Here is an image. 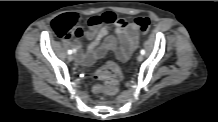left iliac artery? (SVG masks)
<instances>
[{
    "label": "left iliac artery",
    "instance_id": "1",
    "mask_svg": "<svg viewBox=\"0 0 218 122\" xmlns=\"http://www.w3.org/2000/svg\"><path fill=\"white\" fill-rule=\"evenodd\" d=\"M140 53H141L142 55H144V54H145V50L142 49V50L140 51Z\"/></svg>",
    "mask_w": 218,
    "mask_h": 122
}]
</instances>
